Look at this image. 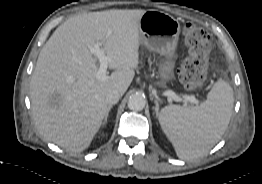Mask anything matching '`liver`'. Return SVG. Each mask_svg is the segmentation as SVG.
I'll return each mask as SVG.
<instances>
[{"label":"liver","instance_id":"6515ba94","mask_svg":"<svg viewBox=\"0 0 262 184\" xmlns=\"http://www.w3.org/2000/svg\"><path fill=\"white\" fill-rule=\"evenodd\" d=\"M146 11L106 10L75 15L43 46L30 82L32 113L39 132L69 152L87 149L105 118L106 94H124L139 64V20ZM100 43L115 71L98 80Z\"/></svg>","mask_w":262,"mask_h":184}]
</instances>
